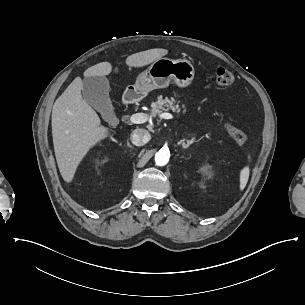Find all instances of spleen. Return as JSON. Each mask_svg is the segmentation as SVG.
I'll return each mask as SVG.
<instances>
[{"label": "spleen", "mask_w": 305, "mask_h": 305, "mask_svg": "<svg viewBox=\"0 0 305 305\" xmlns=\"http://www.w3.org/2000/svg\"><path fill=\"white\" fill-rule=\"evenodd\" d=\"M247 161L246 163L240 168L239 170V191L242 192L248 182L249 175H250V161H251V155L250 152H247Z\"/></svg>", "instance_id": "1"}]
</instances>
